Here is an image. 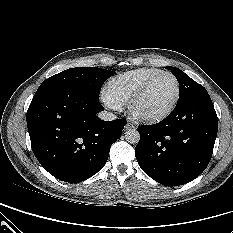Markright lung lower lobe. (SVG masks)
<instances>
[{
    "label": "right lung lower lobe",
    "instance_id": "obj_1",
    "mask_svg": "<svg viewBox=\"0 0 233 233\" xmlns=\"http://www.w3.org/2000/svg\"><path fill=\"white\" fill-rule=\"evenodd\" d=\"M98 99L71 87L32 99L27 111L32 150L59 180L77 183L96 174L122 134L125 120L103 121L96 116L104 110Z\"/></svg>",
    "mask_w": 233,
    "mask_h": 233
}]
</instances>
